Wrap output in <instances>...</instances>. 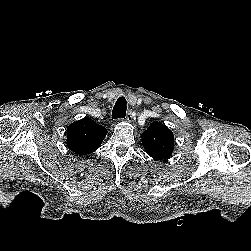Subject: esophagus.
<instances>
[{
    "label": "esophagus",
    "mask_w": 251,
    "mask_h": 251,
    "mask_svg": "<svg viewBox=\"0 0 251 251\" xmlns=\"http://www.w3.org/2000/svg\"><path fill=\"white\" fill-rule=\"evenodd\" d=\"M125 120L129 123H131L133 121V117H132V114L131 112H128L126 117H125Z\"/></svg>",
    "instance_id": "obj_1"
}]
</instances>
